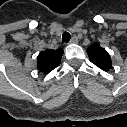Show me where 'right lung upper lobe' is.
<instances>
[{
	"mask_svg": "<svg viewBox=\"0 0 127 127\" xmlns=\"http://www.w3.org/2000/svg\"><path fill=\"white\" fill-rule=\"evenodd\" d=\"M62 55L63 49L61 48L40 52L37 57V69L44 74L49 73L59 65Z\"/></svg>",
	"mask_w": 127,
	"mask_h": 127,
	"instance_id": "1",
	"label": "right lung upper lobe"
}]
</instances>
